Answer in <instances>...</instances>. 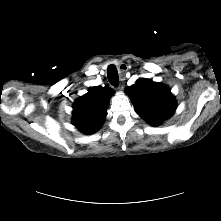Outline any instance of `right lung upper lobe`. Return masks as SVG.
Wrapping results in <instances>:
<instances>
[{
  "label": "right lung upper lobe",
  "mask_w": 221,
  "mask_h": 221,
  "mask_svg": "<svg viewBox=\"0 0 221 221\" xmlns=\"http://www.w3.org/2000/svg\"><path fill=\"white\" fill-rule=\"evenodd\" d=\"M113 93V89L107 86L89 89L73 104V124L84 134L96 132L104 123Z\"/></svg>",
  "instance_id": "obj_1"
}]
</instances>
